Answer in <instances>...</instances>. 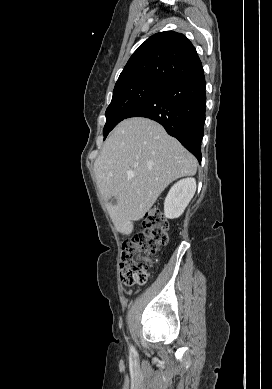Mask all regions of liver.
Wrapping results in <instances>:
<instances>
[{
  "instance_id": "liver-1",
  "label": "liver",
  "mask_w": 272,
  "mask_h": 389,
  "mask_svg": "<svg viewBox=\"0 0 272 389\" xmlns=\"http://www.w3.org/2000/svg\"><path fill=\"white\" fill-rule=\"evenodd\" d=\"M197 165L195 157L155 121L134 117L120 122L94 163L97 186L116 230L130 235L133 222L164 189L178 178L195 175ZM127 172L135 176L130 178Z\"/></svg>"
}]
</instances>
